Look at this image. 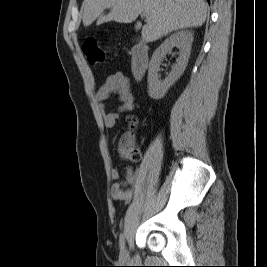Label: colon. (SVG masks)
<instances>
[{
  "instance_id": "1",
  "label": "colon",
  "mask_w": 267,
  "mask_h": 267,
  "mask_svg": "<svg viewBox=\"0 0 267 267\" xmlns=\"http://www.w3.org/2000/svg\"><path fill=\"white\" fill-rule=\"evenodd\" d=\"M83 52L87 58L90 65H98L105 60L104 51L100 48L95 40H87L83 44ZM130 124L133 126L135 124V119H130ZM117 154L120 159L138 162L141 159L142 153L140 148L135 142V138L131 133L123 134L117 145Z\"/></svg>"
}]
</instances>
